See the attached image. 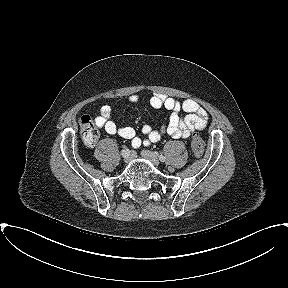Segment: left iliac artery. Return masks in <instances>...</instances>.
Instances as JSON below:
<instances>
[{
    "instance_id": "obj_1",
    "label": "left iliac artery",
    "mask_w": 288,
    "mask_h": 288,
    "mask_svg": "<svg viewBox=\"0 0 288 288\" xmlns=\"http://www.w3.org/2000/svg\"><path fill=\"white\" fill-rule=\"evenodd\" d=\"M160 161L164 162L165 161V157L163 155L159 156Z\"/></svg>"
}]
</instances>
